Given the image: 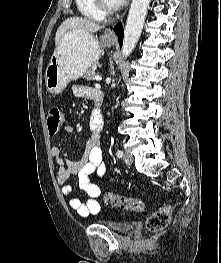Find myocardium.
I'll use <instances>...</instances> for the list:
<instances>
[{"mask_svg":"<svg viewBox=\"0 0 221 263\" xmlns=\"http://www.w3.org/2000/svg\"><path fill=\"white\" fill-rule=\"evenodd\" d=\"M95 6L105 15L107 14H113L117 12L120 8V5H109L106 0H93Z\"/></svg>","mask_w":221,"mask_h":263,"instance_id":"myocardium-1","label":"myocardium"}]
</instances>
